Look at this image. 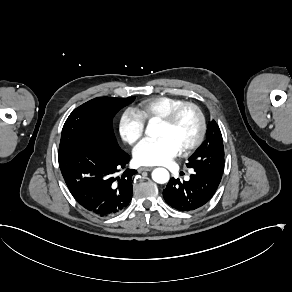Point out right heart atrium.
<instances>
[{
    "mask_svg": "<svg viewBox=\"0 0 292 292\" xmlns=\"http://www.w3.org/2000/svg\"><path fill=\"white\" fill-rule=\"evenodd\" d=\"M146 123L135 108L127 107L120 114L118 132L126 143L133 145L144 135Z\"/></svg>",
    "mask_w": 292,
    "mask_h": 292,
    "instance_id": "obj_1",
    "label": "right heart atrium"
}]
</instances>
